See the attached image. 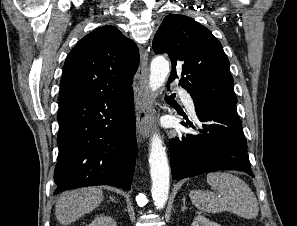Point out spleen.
<instances>
[{
    "mask_svg": "<svg viewBox=\"0 0 297 226\" xmlns=\"http://www.w3.org/2000/svg\"><path fill=\"white\" fill-rule=\"evenodd\" d=\"M207 183L220 195L210 191H190L195 207L207 213L232 212L245 219H254L259 212L256 196L237 176L227 172L207 174Z\"/></svg>",
    "mask_w": 297,
    "mask_h": 226,
    "instance_id": "spleen-1",
    "label": "spleen"
}]
</instances>
